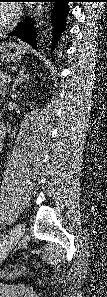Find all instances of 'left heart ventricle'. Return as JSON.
Segmentation results:
<instances>
[{"mask_svg":"<svg viewBox=\"0 0 107 297\" xmlns=\"http://www.w3.org/2000/svg\"><path fill=\"white\" fill-rule=\"evenodd\" d=\"M1 10V18H0V27L6 25L14 15L13 9L8 5H0Z\"/></svg>","mask_w":107,"mask_h":297,"instance_id":"obj_1","label":"left heart ventricle"}]
</instances>
